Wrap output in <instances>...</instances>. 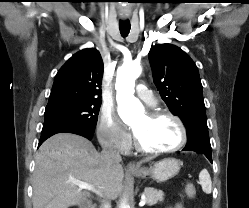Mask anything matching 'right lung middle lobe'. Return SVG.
I'll list each match as a JSON object with an SVG mask.
<instances>
[{
	"instance_id": "dd1d6c3e",
	"label": "right lung middle lobe",
	"mask_w": 249,
	"mask_h": 208,
	"mask_svg": "<svg viewBox=\"0 0 249 208\" xmlns=\"http://www.w3.org/2000/svg\"><path fill=\"white\" fill-rule=\"evenodd\" d=\"M100 106L101 100H86L46 107L44 123L69 124L94 132Z\"/></svg>"
}]
</instances>
